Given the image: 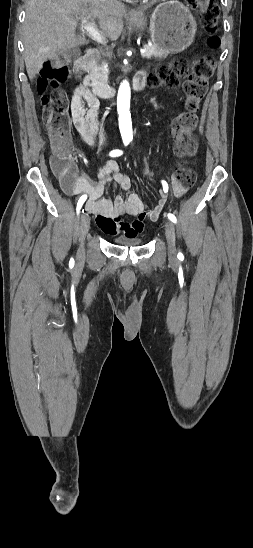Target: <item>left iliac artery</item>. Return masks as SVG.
Listing matches in <instances>:
<instances>
[{
  "label": "left iliac artery",
  "mask_w": 253,
  "mask_h": 548,
  "mask_svg": "<svg viewBox=\"0 0 253 548\" xmlns=\"http://www.w3.org/2000/svg\"><path fill=\"white\" fill-rule=\"evenodd\" d=\"M162 185H163V188L167 187L168 189L167 183L165 181H162ZM167 216H168V219L171 220L173 223L177 222V219L173 214L169 213ZM182 257H183L182 253H178V258H182Z\"/></svg>",
  "instance_id": "44dca946"
}]
</instances>
